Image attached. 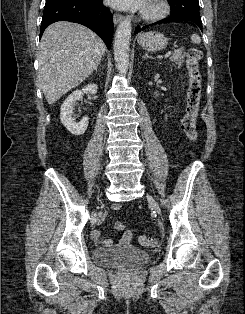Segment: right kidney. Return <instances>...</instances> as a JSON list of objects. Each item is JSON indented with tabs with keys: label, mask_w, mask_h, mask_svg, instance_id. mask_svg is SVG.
<instances>
[{
	"label": "right kidney",
	"mask_w": 245,
	"mask_h": 314,
	"mask_svg": "<svg viewBox=\"0 0 245 314\" xmlns=\"http://www.w3.org/2000/svg\"><path fill=\"white\" fill-rule=\"evenodd\" d=\"M97 90L98 86L96 84L87 85L82 91H74L63 102L61 106L60 120L73 135L80 136L84 134L89 123V118L87 116L83 117L78 123L74 121L73 114L76 101L82 98L83 93L96 94Z\"/></svg>",
	"instance_id": "ca27d5eb"
}]
</instances>
